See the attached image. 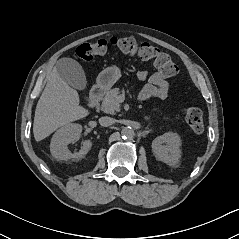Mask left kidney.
Returning <instances> with one entry per match:
<instances>
[{
    "instance_id": "1",
    "label": "left kidney",
    "mask_w": 239,
    "mask_h": 239,
    "mask_svg": "<svg viewBox=\"0 0 239 239\" xmlns=\"http://www.w3.org/2000/svg\"><path fill=\"white\" fill-rule=\"evenodd\" d=\"M181 139L178 134L166 132L156 137L152 142V151L157 159L168 164L176 166L181 158Z\"/></svg>"
}]
</instances>
